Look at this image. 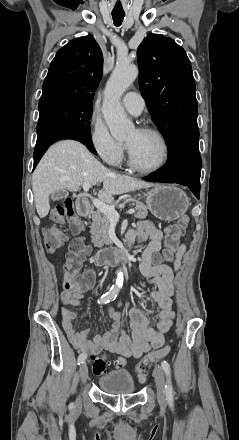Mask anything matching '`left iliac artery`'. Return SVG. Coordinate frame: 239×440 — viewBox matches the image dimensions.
<instances>
[{
  "instance_id": "obj_1",
  "label": "left iliac artery",
  "mask_w": 239,
  "mask_h": 440,
  "mask_svg": "<svg viewBox=\"0 0 239 440\" xmlns=\"http://www.w3.org/2000/svg\"><path fill=\"white\" fill-rule=\"evenodd\" d=\"M161 367L167 377V382L165 385V393H166V397L168 399L169 402H173V396H174V391H173V386H172V382H171V369H170V365L167 361H162L161 362Z\"/></svg>"
}]
</instances>
